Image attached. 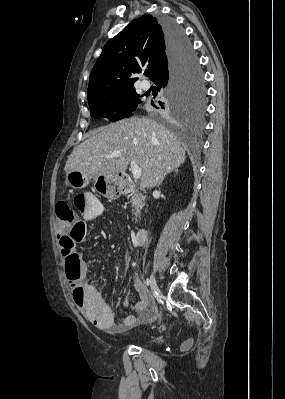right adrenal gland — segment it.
I'll return each mask as SVG.
<instances>
[{
  "label": "right adrenal gland",
  "instance_id": "2a0ac1e0",
  "mask_svg": "<svg viewBox=\"0 0 285 399\" xmlns=\"http://www.w3.org/2000/svg\"><path fill=\"white\" fill-rule=\"evenodd\" d=\"M170 172L178 173V169H177V168L172 169V170L169 171V173H170Z\"/></svg>",
  "mask_w": 285,
  "mask_h": 399
}]
</instances>
